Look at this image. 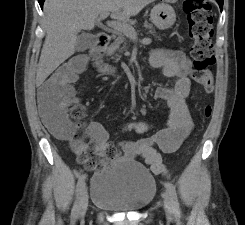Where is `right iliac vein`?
Listing matches in <instances>:
<instances>
[{
  "label": "right iliac vein",
  "mask_w": 245,
  "mask_h": 225,
  "mask_svg": "<svg viewBox=\"0 0 245 225\" xmlns=\"http://www.w3.org/2000/svg\"><path fill=\"white\" fill-rule=\"evenodd\" d=\"M88 191L87 187L84 185L81 191L80 195V202H79V211H78V216L83 217L86 214L87 208H88Z\"/></svg>",
  "instance_id": "right-iliac-vein-1"
}]
</instances>
